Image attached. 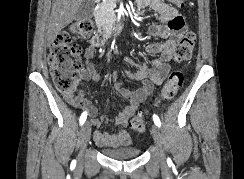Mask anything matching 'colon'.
<instances>
[{"instance_id": "obj_1", "label": "colon", "mask_w": 244, "mask_h": 179, "mask_svg": "<svg viewBox=\"0 0 244 179\" xmlns=\"http://www.w3.org/2000/svg\"><path fill=\"white\" fill-rule=\"evenodd\" d=\"M169 3H182L183 0H168ZM94 29L91 20H79L70 24L67 31L61 32L55 39L49 53L50 73L56 88L63 93L70 94L76 87L79 72L83 68L81 47L72 42V35L89 36ZM197 37L193 32L186 33L177 43L174 56L177 61H186L192 57ZM183 74L171 73L155 105L168 102L174 98L182 85ZM147 111L143 110L134 116L130 125L135 131L145 130L144 118Z\"/></svg>"}]
</instances>
